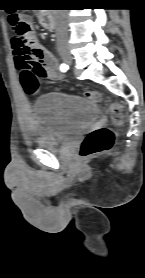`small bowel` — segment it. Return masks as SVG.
<instances>
[{"label": "small bowel", "mask_w": 145, "mask_h": 278, "mask_svg": "<svg viewBox=\"0 0 145 278\" xmlns=\"http://www.w3.org/2000/svg\"><path fill=\"white\" fill-rule=\"evenodd\" d=\"M20 18L28 23L31 22V17L27 14L20 15ZM12 53L19 71L20 84L27 95L29 94L25 89L30 84L31 77L38 75L47 81H55L61 77L60 66L56 58L34 38H31L28 48H25L21 44L20 38L14 34Z\"/></svg>", "instance_id": "obj_1"}]
</instances>
